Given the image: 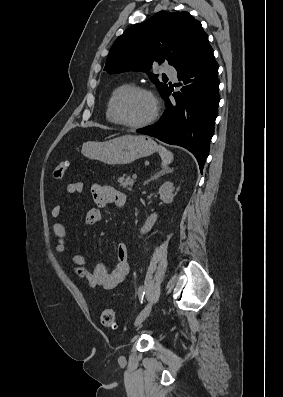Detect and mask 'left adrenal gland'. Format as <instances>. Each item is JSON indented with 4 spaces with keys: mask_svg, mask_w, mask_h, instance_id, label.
<instances>
[{
    "mask_svg": "<svg viewBox=\"0 0 283 397\" xmlns=\"http://www.w3.org/2000/svg\"><path fill=\"white\" fill-rule=\"evenodd\" d=\"M170 172H171V170H169V169H163V170H161V171L158 172L157 174H154L153 176H151L150 179L146 180V181L144 182V186L147 185L149 182L158 179L160 176H163L164 174H167V173H170Z\"/></svg>",
    "mask_w": 283,
    "mask_h": 397,
    "instance_id": "obj_1",
    "label": "left adrenal gland"
}]
</instances>
